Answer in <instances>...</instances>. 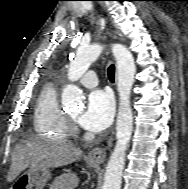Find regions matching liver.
Instances as JSON below:
<instances>
[{
  "label": "liver",
  "mask_w": 188,
  "mask_h": 189,
  "mask_svg": "<svg viewBox=\"0 0 188 189\" xmlns=\"http://www.w3.org/2000/svg\"><path fill=\"white\" fill-rule=\"evenodd\" d=\"M82 154L81 149L70 144L17 145L11 156L7 181L12 182L26 168H57L78 160ZM62 182L66 189H72L78 185L79 179L75 173H68L62 176Z\"/></svg>",
  "instance_id": "obj_1"
}]
</instances>
